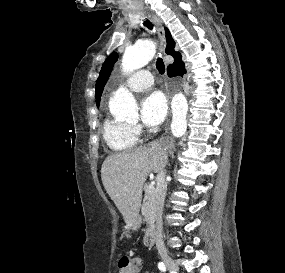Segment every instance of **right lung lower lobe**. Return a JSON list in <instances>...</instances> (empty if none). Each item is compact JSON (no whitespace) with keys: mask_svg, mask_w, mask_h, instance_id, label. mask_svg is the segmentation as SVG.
Instances as JSON below:
<instances>
[{"mask_svg":"<svg viewBox=\"0 0 285 273\" xmlns=\"http://www.w3.org/2000/svg\"><path fill=\"white\" fill-rule=\"evenodd\" d=\"M186 73V70L184 68V63L182 60L175 61L172 65H170L167 69V74L169 77L173 76H183V74Z\"/></svg>","mask_w":285,"mask_h":273,"instance_id":"obj_1","label":"right lung lower lobe"}]
</instances>
